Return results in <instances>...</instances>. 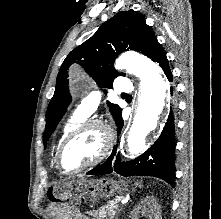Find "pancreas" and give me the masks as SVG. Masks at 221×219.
I'll return each mask as SVG.
<instances>
[{
  "instance_id": "pancreas-1",
  "label": "pancreas",
  "mask_w": 221,
  "mask_h": 219,
  "mask_svg": "<svg viewBox=\"0 0 221 219\" xmlns=\"http://www.w3.org/2000/svg\"><path fill=\"white\" fill-rule=\"evenodd\" d=\"M117 207L114 200L109 201L106 205L98 210H92L87 212V214L95 217L96 219H113L116 216Z\"/></svg>"
}]
</instances>
